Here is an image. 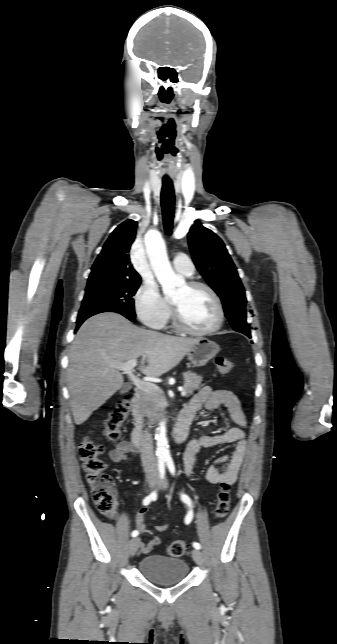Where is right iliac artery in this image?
Instances as JSON below:
<instances>
[{
    "instance_id": "obj_1",
    "label": "right iliac artery",
    "mask_w": 337,
    "mask_h": 644,
    "mask_svg": "<svg viewBox=\"0 0 337 644\" xmlns=\"http://www.w3.org/2000/svg\"><path fill=\"white\" fill-rule=\"evenodd\" d=\"M158 468H159V473H160V478L161 480L165 476V460L160 459L158 461ZM157 498V491H153L149 496L145 497L143 500V505H149L152 500H155ZM139 534L137 530H134L131 535L132 537H136Z\"/></svg>"
}]
</instances>
